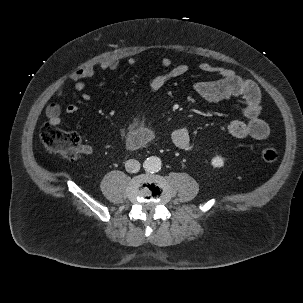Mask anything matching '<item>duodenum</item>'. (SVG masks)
<instances>
[{
    "label": "duodenum",
    "mask_w": 303,
    "mask_h": 303,
    "mask_svg": "<svg viewBox=\"0 0 303 303\" xmlns=\"http://www.w3.org/2000/svg\"><path fill=\"white\" fill-rule=\"evenodd\" d=\"M148 141V136L143 131H134L129 134L127 143L131 148H136Z\"/></svg>",
    "instance_id": "410a0bca"
}]
</instances>
